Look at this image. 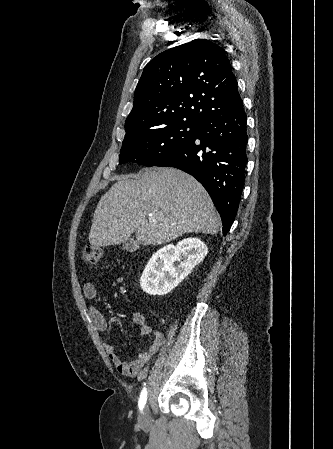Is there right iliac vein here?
<instances>
[{"instance_id": "obj_1", "label": "right iliac vein", "mask_w": 333, "mask_h": 449, "mask_svg": "<svg viewBox=\"0 0 333 449\" xmlns=\"http://www.w3.org/2000/svg\"><path fill=\"white\" fill-rule=\"evenodd\" d=\"M138 422L141 426H146L149 424V409L146 407L145 411L142 412L138 417Z\"/></svg>"}]
</instances>
